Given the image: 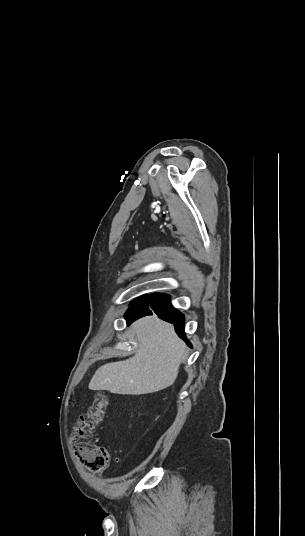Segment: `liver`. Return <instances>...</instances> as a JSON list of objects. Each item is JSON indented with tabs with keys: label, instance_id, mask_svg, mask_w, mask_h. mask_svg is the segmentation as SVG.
Listing matches in <instances>:
<instances>
[{
	"label": "liver",
	"instance_id": "1",
	"mask_svg": "<svg viewBox=\"0 0 305 536\" xmlns=\"http://www.w3.org/2000/svg\"><path fill=\"white\" fill-rule=\"evenodd\" d=\"M131 328L139 342L136 356L98 368L90 380L89 390L152 394L174 384L187 354L173 326L157 316H147L134 322Z\"/></svg>",
	"mask_w": 305,
	"mask_h": 536
}]
</instances>
